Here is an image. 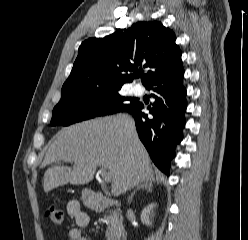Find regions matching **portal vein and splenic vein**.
Here are the masks:
<instances>
[{"mask_svg":"<svg viewBox=\"0 0 248 240\" xmlns=\"http://www.w3.org/2000/svg\"><path fill=\"white\" fill-rule=\"evenodd\" d=\"M100 175L107 182L111 181L112 179V173H110L109 171H106V169L104 168H101Z\"/></svg>","mask_w":248,"mask_h":240,"instance_id":"portal-vein-and-splenic-vein-1","label":"portal vein and splenic vein"}]
</instances>
